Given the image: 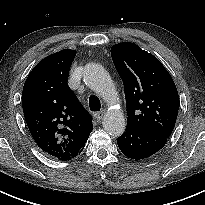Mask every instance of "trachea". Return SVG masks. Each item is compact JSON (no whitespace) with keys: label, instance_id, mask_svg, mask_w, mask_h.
<instances>
[{"label":"trachea","instance_id":"1","mask_svg":"<svg viewBox=\"0 0 205 205\" xmlns=\"http://www.w3.org/2000/svg\"><path fill=\"white\" fill-rule=\"evenodd\" d=\"M89 107L92 111H99L101 108L100 100L96 96H91L89 98Z\"/></svg>","mask_w":205,"mask_h":205}]
</instances>
